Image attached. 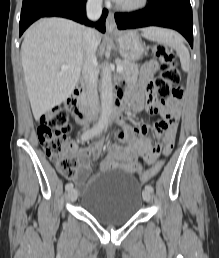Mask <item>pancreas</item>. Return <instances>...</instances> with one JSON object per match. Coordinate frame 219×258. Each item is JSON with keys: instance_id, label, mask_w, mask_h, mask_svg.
I'll return each mask as SVG.
<instances>
[{"instance_id": "obj_1", "label": "pancreas", "mask_w": 219, "mask_h": 258, "mask_svg": "<svg viewBox=\"0 0 219 258\" xmlns=\"http://www.w3.org/2000/svg\"><path fill=\"white\" fill-rule=\"evenodd\" d=\"M118 64L123 66V70L120 72V75L124 79L131 80L138 76V65H136L133 61L124 59L119 61Z\"/></svg>"}]
</instances>
